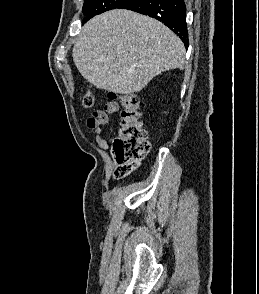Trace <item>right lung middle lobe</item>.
I'll use <instances>...</instances> for the list:
<instances>
[{
    "instance_id": "1",
    "label": "right lung middle lobe",
    "mask_w": 259,
    "mask_h": 294,
    "mask_svg": "<svg viewBox=\"0 0 259 294\" xmlns=\"http://www.w3.org/2000/svg\"><path fill=\"white\" fill-rule=\"evenodd\" d=\"M131 0H85L83 6V13L86 16L83 22L105 11L120 8L125 3Z\"/></svg>"
}]
</instances>
